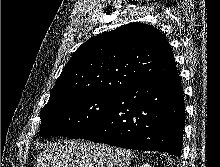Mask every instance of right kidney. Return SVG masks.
Returning a JSON list of instances; mask_svg holds the SVG:
<instances>
[{
	"mask_svg": "<svg viewBox=\"0 0 220 167\" xmlns=\"http://www.w3.org/2000/svg\"><path fill=\"white\" fill-rule=\"evenodd\" d=\"M140 167H152V166H150V165H148V164H144V165H142V166H140Z\"/></svg>",
	"mask_w": 220,
	"mask_h": 167,
	"instance_id": "ca27d5eb",
	"label": "right kidney"
}]
</instances>
